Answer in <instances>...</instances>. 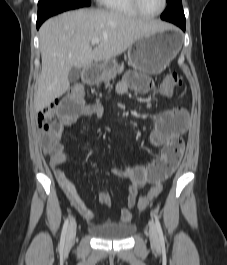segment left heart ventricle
Listing matches in <instances>:
<instances>
[{
    "instance_id": "b2bd125f",
    "label": "left heart ventricle",
    "mask_w": 227,
    "mask_h": 265,
    "mask_svg": "<svg viewBox=\"0 0 227 265\" xmlns=\"http://www.w3.org/2000/svg\"><path fill=\"white\" fill-rule=\"evenodd\" d=\"M140 6L145 13L154 14L162 7V0H139Z\"/></svg>"
}]
</instances>
